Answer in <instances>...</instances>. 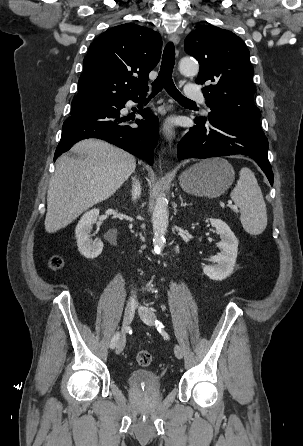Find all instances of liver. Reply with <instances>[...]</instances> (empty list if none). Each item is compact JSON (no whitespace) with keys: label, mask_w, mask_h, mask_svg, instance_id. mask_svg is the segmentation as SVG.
<instances>
[{"label":"liver","mask_w":303,"mask_h":446,"mask_svg":"<svg viewBox=\"0 0 303 446\" xmlns=\"http://www.w3.org/2000/svg\"><path fill=\"white\" fill-rule=\"evenodd\" d=\"M61 156L47 194L45 230L65 228L81 213L112 196L136 168L133 155L105 141L86 139Z\"/></svg>","instance_id":"liver-1"}]
</instances>
